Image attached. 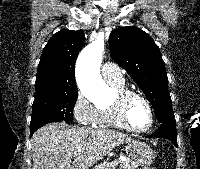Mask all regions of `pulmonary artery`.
Instances as JSON below:
<instances>
[{"label":"pulmonary artery","mask_w":200,"mask_h":169,"mask_svg":"<svg viewBox=\"0 0 200 169\" xmlns=\"http://www.w3.org/2000/svg\"><path fill=\"white\" fill-rule=\"evenodd\" d=\"M101 74L108 83H121L124 81L121 70L117 64L105 62L101 66Z\"/></svg>","instance_id":"e3ab8cb5"}]
</instances>
